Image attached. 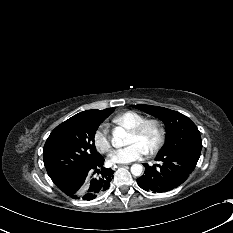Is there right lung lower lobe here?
I'll list each match as a JSON object with an SVG mask.
<instances>
[{"mask_svg":"<svg viewBox=\"0 0 233 233\" xmlns=\"http://www.w3.org/2000/svg\"><path fill=\"white\" fill-rule=\"evenodd\" d=\"M104 158L79 168L74 174L56 184L73 199L92 200L107 190L114 171L103 167Z\"/></svg>","mask_w":233,"mask_h":233,"instance_id":"1","label":"right lung lower lobe"}]
</instances>
